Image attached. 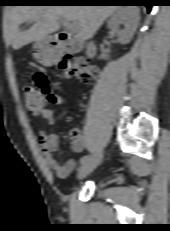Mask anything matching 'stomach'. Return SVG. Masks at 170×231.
<instances>
[{"mask_svg":"<svg viewBox=\"0 0 170 231\" xmlns=\"http://www.w3.org/2000/svg\"><path fill=\"white\" fill-rule=\"evenodd\" d=\"M34 57L42 64L52 65L57 60V56L50 47L47 38L36 41L33 45Z\"/></svg>","mask_w":170,"mask_h":231,"instance_id":"stomach-1","label":"stomach"}]
</instances>
